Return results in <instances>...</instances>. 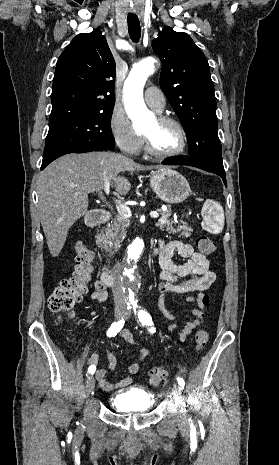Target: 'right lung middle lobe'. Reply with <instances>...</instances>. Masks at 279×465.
Masks as SVG:
<instances>
[{"label": "right lung middle lobe", "mask_w": 279, "mask_h": 465, "mask_svg": "<svg viewBox=\"0 0 279 465\" xmlns=\"http://www.w3.org/2000/svg\"><path fill=\"white\" fill-rule=\"evenodd\" d=\"M112 111L113 108L93 111L50 124L42 164L86 146L113 147Z\"/></svg>", "instance_id": "1"}]
</instances>
